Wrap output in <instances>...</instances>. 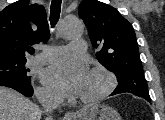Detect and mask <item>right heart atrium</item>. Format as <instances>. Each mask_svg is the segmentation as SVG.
Segmentation results:
<instances>
[{
	"label": "right heart atrium",
	"mask_w": 165,
	"mask_h": 120,
	"mask_svg": "<svg viewBox=\"0 0 165 120\" xmlns=\"http://www.w3.org/2000/svg\"><path fill=\"white\" fill-rule=\"evenodd\" d=\"M37 94L39 95V97H41L42 99H45V100L56 99V96L44 87L38 88Z\"/></svg>",
	"instance_id": "right-heart-atrium-1"
}]
</instances>
